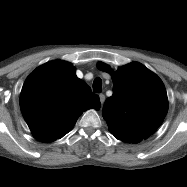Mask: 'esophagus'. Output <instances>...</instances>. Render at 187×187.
<instances>
[{"label":"esophagus","mask_w":187,"mask_h":187,"mask_svg":"<svg viewBox=\"0 0 187 187\" xmlns=\"http://www.w3.org/2000/svg\"><path fill=\"white\" fill-rule=\"evenodd\" d=\"M99 98H100L101 105H103L104 101H105V95L104 94H99Z\"/></svg>","instance_id":"obj_1"}]
</instances>
